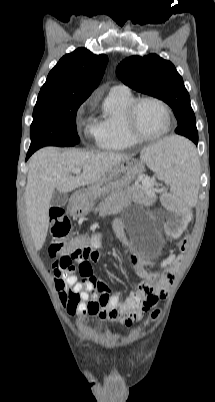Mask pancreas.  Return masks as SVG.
<instances>
[{"label":"pancreas","mask_w":215,"mask_h":402,"mask_svg":"<svg viewBox=\"0 0 215 402\" xmlns=\"http://www.w3.org/2000/svg\"><path fill=\"white\" fill-rule=\"evenodd\" d=\"M147 190H154V184L117 189L101 201L94 212L101 217L117 214L131 204L135 193L144 194Z\"/></svg>","instance_id":"cf45deb5"}]
</instances>
